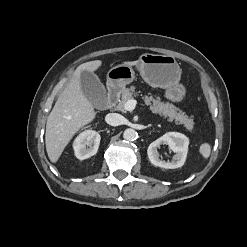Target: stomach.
Wrapping results in <instances>:
<instances>
[{
  "label": "stomach",
  "mask_w": 247,
  "mask_h": 247,
  "mask_svg": "<svg viewBox=\"0 0 247 247\" xmlns=\"http://www.w3.org/2000/svg\"><path fill=\"white\" fill-rule=\"evenodd\" d=\"M136 69L147 84L165 89L167 99L172 102H181L184 99L186 90L180 84L182 71L173 56L145 53L140 56ZM134 77L132 66L120 64L109 70L107 84L110 88L121 90Z\"/></svg>",
  "instance_id": "stomach-1"
}]
</instances>
